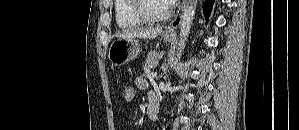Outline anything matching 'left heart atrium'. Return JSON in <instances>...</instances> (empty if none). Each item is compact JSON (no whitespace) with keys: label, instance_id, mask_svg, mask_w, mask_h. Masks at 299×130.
I'll use <instances>...</instances> for the list:
<instances>
[{"label":"left heart atrium","instance_id":"left-heart-atrium-1","mask_svg":"<svg viewBox=\"0 0 299 130\" xmlns=\"http://www.w3.org/2000/svg\"><path fill=\"white\" fill-rule=\"evenodd\" d=\"M175 2L176 0H165V3L169 6H172Z\"/></svg>","mask_w":299,"mask_h":130}]
</instances>
